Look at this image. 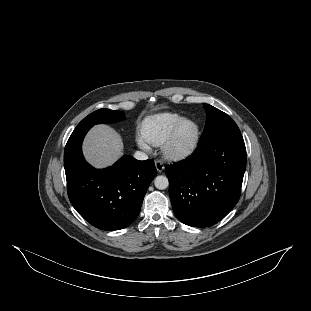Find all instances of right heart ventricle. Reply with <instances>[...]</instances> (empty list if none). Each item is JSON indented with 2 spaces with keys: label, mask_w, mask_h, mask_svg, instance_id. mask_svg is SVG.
<instances>
[{
  "label": "right heart ventricle",
  "mask_w": 311,
  "mask_h": 311,
  "mask_svg": "<svg viewBox=\"0 0 311 311\" xmlns=\"http://www.w3.org/2000/svg\"><path fill=\"white\" fill-rule=\"evenodd\" d=\"M183 115L176 112H160L144 117L137 125L141 139L153 146L162 145L174 127L182 120Z\"/></svg>",
  "instance_id": "e07e8e85"
}]
</instances>
